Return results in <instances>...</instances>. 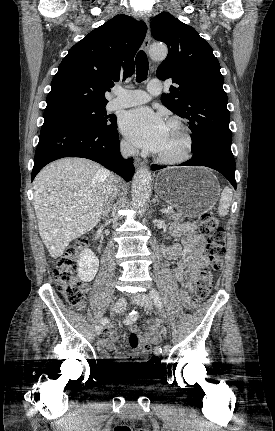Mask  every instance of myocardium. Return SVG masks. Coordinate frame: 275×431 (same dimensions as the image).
<instances>
[{"label": "myocardium", "instance_id": "1", "mask_svg": "<svg viewBox=\"0 0 275 431\" xmlns=\"http://www.w3.org/2000/svg\"><path fill=\"white\" fill-rule=\"evenodd\" d=\"M168 124L175 125L179 128L184 139V148L180 155L176 157H164L160 154L155 155L157 162L164 165H178L185 163L192 157L194 149V139L190 128L187 124L179 117H171L168 120Z\"/></svg>", "mask_w": 275, "mask_h": 431}]
</instances>
